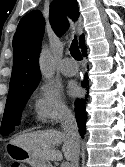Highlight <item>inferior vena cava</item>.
<instances>
[{
  "instance_id": "obj_1",
  "label": "inferior vena cava",
  "mask_w": 125,
  "mask_h": 167,
  "mask_svg": "<svg viewBox=\"0 0 125 167\" xmlns=\"http://www.w3.org/2000/svg\"><path fill=\"white\" fill-rule=\"evenodd\" d=\"M60 122L64 133L72 143L70 167H79L80 135L74 114L67 108L60 111Z\"/></svg>"
}]
</instances>
